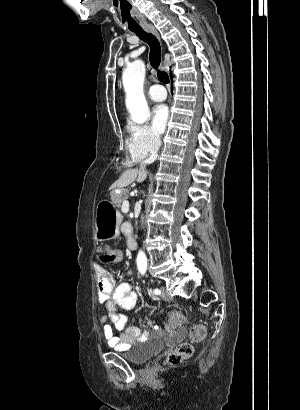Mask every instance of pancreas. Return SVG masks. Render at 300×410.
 I'll return each instance as SVG.
<instances>
[{"instance_id":"cf45deb5","label":"pancreas","mask_w":300,"mask_h":410,"mask_svg":"<svg viewBox=\"0 0 300 410\" xmlns=\"http://www.w3.org/2000/svg\"><path fill=\"white\" fill-rule=\"evenodd\" d=\"M112 200L115 202L116 206L120 208L123 201L126 200V196L123 192L120 194L115 193V196L112 198Z\"/></svg>"}]
</instances>
